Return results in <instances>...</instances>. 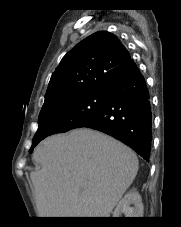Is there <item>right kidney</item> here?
<instances>
[{"instance_id":"right-kidney-1","label":"right kidney","mask_w":181,"mask_h":227,"mask_svg":"<svg viewBox=\"0 0 181 227\" xmlns=\"http://www.w3.org/2000/svg\"><path fill=\"white\" fill-rule=\"evenodd\" d=\"M143 212L144 206L139 192L136 189H131L117 204L113 217H122V214L125 217H143Z\"/></svg>"}]
</instances>
